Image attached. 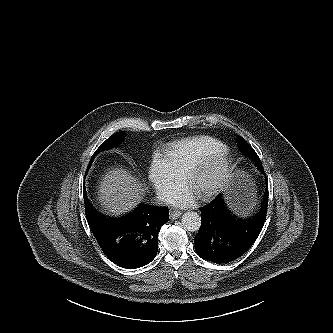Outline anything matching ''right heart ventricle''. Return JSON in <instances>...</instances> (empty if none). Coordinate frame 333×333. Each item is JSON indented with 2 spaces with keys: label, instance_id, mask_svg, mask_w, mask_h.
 <instances>
[{
  "label": "right heart ventricle",
  "instance_id": "1",
  "mask_svg": "<svg viewBox=\"0 0 333 333\" xmlns=\"http://www.w3.org/2000/svg\"><path fill=\"white\" fill-rule=\"evenodd\" d=\"M225 147L216 138L200 135L169 144L163 150L162 155L171 171L182 178L197 161Z\"/></svg>",
  "mask_w": 333,
  "mask_h": 333
}]
</instances>
